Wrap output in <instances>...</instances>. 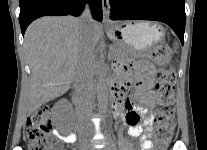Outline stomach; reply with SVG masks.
I'll list each match as a JSON object with an SVG mask.
<instances>
[{
	"label": "stomach",
	"mask_w": 207,
	"mask_h": 150,
	"mask_svg": "<svg viewBox=\"0 0 207 150\" xmlns=\"http://www.w3.org/2000/svg\"><path fill=\"white\" fill-rule=\"evenodd\" d=\"M107 34L121 52L117 58L126 61L148 52L151 47L164 38V28L157 22H127L114 24Z\"/></svg>",
	"instance_id": "0dacf381"
}]
</instances>
